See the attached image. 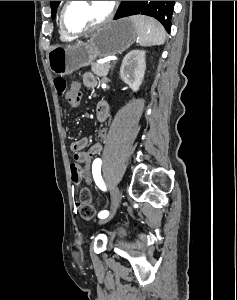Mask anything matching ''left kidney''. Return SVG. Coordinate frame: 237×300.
Here are the masks:
<instances>
[{
	"label": "left kidney",
	"instance_id": "obj_1",
	"mask_svg": "<svg viewBox=\"0 0 237 300\" xmlns=\"http://www.w3.org/2000/svg\"><path fill=\"white\" fill-rule=\"evenodd\" d=\"M145 69L146 53L135 49V51H130L125 55L120 69V77L126 85L131 87L132 91H139V87L143 83Z\"/></svg>",
	"mask_w": 237,
	"mask_h": 300
}]
</instances>
